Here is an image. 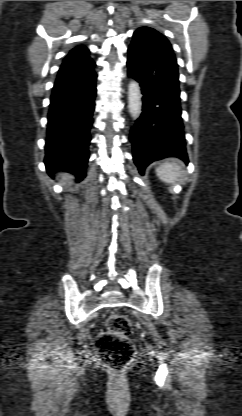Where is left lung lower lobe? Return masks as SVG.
<instances>
[{
	"instance_id": "1",
	"label": "left lung lower lobe",
	"mask_w": 242,
	"mask_h": 416,
	"mask_svg": "<svg viewBox=\"0 0 242 416\" xmlns=\"http://www.w3.org/2000/svg\"><path fill=\"white\" fill-rule=\"evenodd\" d=\"M128 53V75L140 83L143 94L142 114L130 133L140 174L153 161L166 157L188 162L173 51L151 33H134Z\"/></svg>"
}]
</instances>
